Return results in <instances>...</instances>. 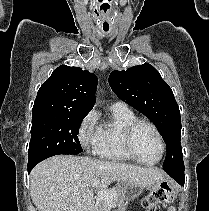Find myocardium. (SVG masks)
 I'll return each mask as SVG.
<instances>
[{"label":"myocardium","mask_w":209,"mask_h":211,"mask_svg":"<svg viewBox=\"0 0 209 211\" xmlns=\"http://www.w3.org/2000/svg\"><path fill=\"white\" fill-rule=\"evenodd\" d=\"M143 125L150 127L155 132L160 142V147H161L160 155L158 159L153 162H146V161L141 160L137 156L133 148V140H134L135 133L138 130V128ZM122 143H123V148L125 152L127 153V155L135 162L141 165H145V166H154L160 163L166 151V144H165V140L162 133L160 132V130L154 123L145 119H135L134 121H132L125 127L123 131Z\"/></svg>","instance_id":"f54148a6"}]
</instances>
